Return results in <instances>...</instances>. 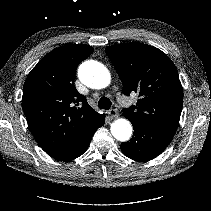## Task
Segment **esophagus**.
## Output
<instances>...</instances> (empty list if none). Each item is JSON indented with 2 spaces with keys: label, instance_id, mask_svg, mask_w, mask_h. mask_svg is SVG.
<instances>
[{
  "label": "esophagus",
  "instance_id": "obj_1",
  "mask_svg": "<svg viewBox=\"0 0 211 211\" xmlns=\"http://www.w3.org/2000/svg\"><path fill=\"white\" fill-rule=\"evenodd\" d=\"M108 114L112 117V118H117L119 116L117 109H110Z\"/></svg>",
  "mask_w": 211,
  "mask_h": 211
}]
</instances>
